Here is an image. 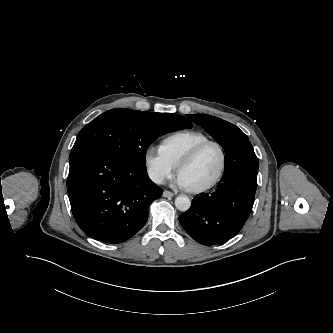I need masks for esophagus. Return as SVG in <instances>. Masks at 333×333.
<instances>
[{
	"label": "esophagus",
	"instance_id": "esophagus-1",
	"mask_svg": "<svg viewBox=\"0 0 333 333\" xmlns=\"http://www.w3.org/2000/svg\"><path fill=\"white\" fill-rule=\"evenodd\" d=\"M173 196H174V194H173L172 192H170V191H168V190H164V192H163V197L171 198V197H173Z\"/></svg>",
	"mask_w": 333,
	"mask_h": 333
}]
</instances>
